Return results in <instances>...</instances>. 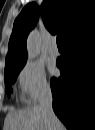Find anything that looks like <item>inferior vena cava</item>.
<instances>
[{"label":"inferior vena cava","mask_w":95,"mask_h":130,"mask_svg":"<svg viewBox=\"0 0 95 130\" xmlns=\"http://www.w3.org/2000/svg\"><path fill=\"white\" fill-rule=\"evenodd\" d=\"M40 108L41 111L43 112L47 124H48V129L49 130H57V117L54 114L53 108H52V91L50 87L45 88L41 94H40Z\"/></svg>","instance_id":"1"}]
</instances>
